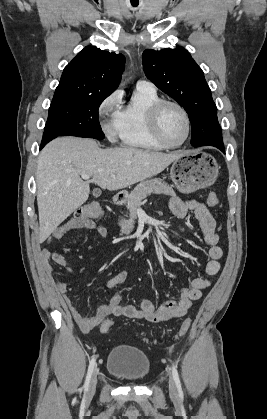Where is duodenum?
<instances>
[{
	"instance_id": "410a0bca",
	"label": "duodenum",
	"mask_w": 267,
	"mask_h": 419,
	"mask_svg": "<svg viewBox=\"0 0 267 419\" xmlns=\"http://www.w3.org/2000/svg\"><path fill=\"white\" fill-rule=\"evenodd\" d=\"M112 202L116 206L121 205L124 202V196L117 194L113 197Z\"/></svg>"
}]
</instances>
